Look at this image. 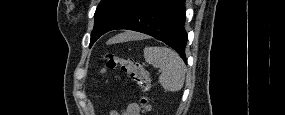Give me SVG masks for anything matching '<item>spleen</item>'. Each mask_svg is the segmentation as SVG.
Returning a JSON list of instances; mask_svg holds the SVG:
<instances>
[{"label":"spleen","mask_w":285,"mask_h":115,"mask_svg":"<svg viewBox=\"0 0 285 115\" xmlns=\"http://www.w3.org/2000/svg\"><path fill=\"white\" fill-rule=\"evenodd\" d=\"M125 34L116 36L113 41L126 40ZM144 58L155 68L161 69L159 83L170 92L180 91L184 85L186 66L180 56L167 47H145Z\"/></svg>","instance_id":"3e777b00"}]
</instances>
